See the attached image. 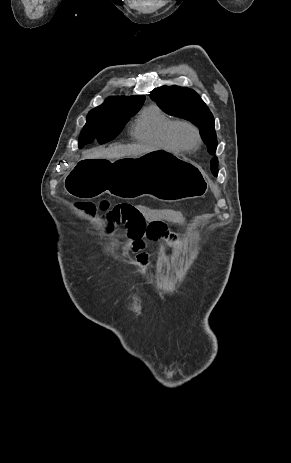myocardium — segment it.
<instances>
[{"instance_id":"obj_1","label":"myocardium","mask_w":291,"mask_h":463,"mask_svg":"<svg viewBox=\"0 0 291 463\" xmlns=\"http://www.w3.org/2000/svg\"><path fill=\"white\" fill-rule=\"evenodd\" d=\"M186 127L190 129L195 137V143L192 146H186L184 145L179 137H178V131L180 128ZM170 137L173 143L177 146L178 149L186 152H192L195 151L196 149L199 148L202 142V137L199 128L192 122L188 120H177L173 123L170 129Z\"/></svg>"}]
</instances>
